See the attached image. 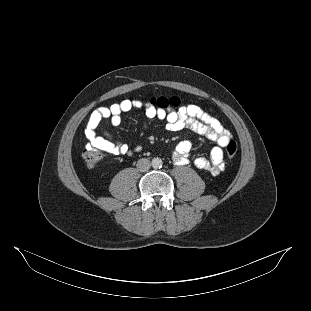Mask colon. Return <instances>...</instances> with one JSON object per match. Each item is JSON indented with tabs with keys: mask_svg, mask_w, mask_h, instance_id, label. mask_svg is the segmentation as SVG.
<instances>
[{
	"mask_svg": "<svg viewBox=\"0 0 311 311\" xmlns=\"http://www.w3.org/2000/svg\"><path fill=\"white\" fill-rule=\"evenodd\" d=\"M150 104L154 107L167 109L177 107L180 104V100L177 97H158L153 98ZM237 153V144L234 141L228 142L226 145V154L228 158L232 159ZM83 159L85 164L90 167H96L102 159V153L98 149H85L83 152Z\"/></svg>",
	"mask_w": 311,
	"mask_h": 311,
	"instance_id": "5ec220e1",
	"label": "colon"
}]
</instances>
